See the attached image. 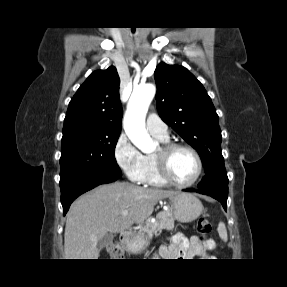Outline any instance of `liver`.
<instances>
[{"mask_svg": "<svg viewBox=\"0 0 287 287\" xmlns=\"http://www.w3.org/2000/svg\"><path fill=\"white\" fill-rule=\"evenodd\" d=\"M177 193L116 182L84 194L67 213L65 259H98V242L105 234L122 233L133 224L144 222L158 201ZM124 210H128L127 216L120 215Z\"/></svg>", "mask_w": 287, "mask_h": 287, "instance_id": "obj_1", "label": "liver"}]
</instances>
